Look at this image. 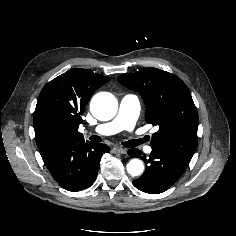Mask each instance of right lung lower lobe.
<instances>
[{
    "instance_id": "1",
    "label": "right lung lower lobe",
    "mask_w": 236,
    "mask_h": 236,
    "mask_svg": "<svg viewBox=\"0 0 236 236\" xmlns=\"http://www.w3.org/2000/svg\"><path fill=\"white\" fill-rule=\"evenodd\" d=\"M52 177L72 192L90 187L96 180L101 157L110 148L84 139H69L39 149Z\"/></svg>"
}]
</instances>
